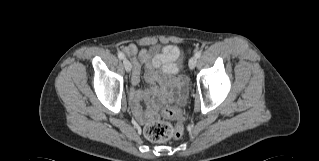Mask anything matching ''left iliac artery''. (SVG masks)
Returning a JSON list of instances; mask_svg holds the SVG:
<instances>
[{"label": "left iliac artery", "mask_w": 319, "mask_h": 161, "mask_svg": "<svg viewBox=\"0 0 319 161\" xmlns=\"http://www.w3.org/2000/svg\"><path fill=\"white\" fill-rule=\"evenodd\" d=\"M195 56H196L197 58H199V57L201 56V52H200V51H197V52L195 53Z\"/></svg>", "instance_id": "obj_1"}]
</instances>
